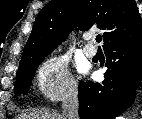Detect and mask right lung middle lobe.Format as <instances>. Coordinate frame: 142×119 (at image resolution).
Here are the masks:
<instances>
[{"label":"right lung middle lobe","mask_w":142,"mask_h":119,"mask_svg":"<svg viewBox=\"0 0 142 119\" xmlns=\"http://www.w3.org/2000/svg\"><path fill=\"white\" fill-rule=\"evenodd\" d=\"M48 54L42 55L38 58L33 59L28 64L22 66L18 70L17 80L14 87L15 93L20 95L21 93L26 94L29 90L32 77L38 67V65L43 61L44 57Z\"/></svg>","instance_id":"1"}]
</instances>
